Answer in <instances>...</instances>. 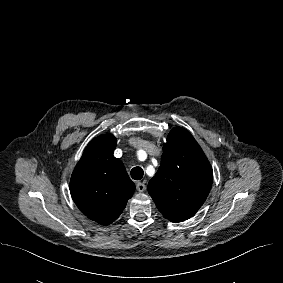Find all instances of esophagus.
Segmentation results:
<instances>
[{"label":"esophagus","mask_w":283,"mask_h":283,"mask_svg":"<svg viewBox=\"0 0 283 283\" xmlns=\"http://www.w3.org/2000/svg\"><path fill=\"white\" fill-rule=\"evenodd\" d=\"M136 189H137L139 192H143V191H145V189H146V185H145L144 183H142V182H138V183L136 184Z\"/></svg>","instance_id":"obj_1"}]
</instances>
